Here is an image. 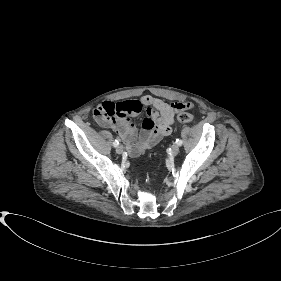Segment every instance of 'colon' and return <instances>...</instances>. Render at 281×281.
Instances as JSON below:
<instances>
[{
	"label": "colon",
	"mask_w": 281,
	"mask_h": 281,
	"mask_svg": "<svg viewBox=\"0 0 281 281\" xmlns=\"http://www.w3.org/2000/svg\"><path fill=\"white\" fill-rule=\"evenodd\" d=\"M140 109L141 106L136 102L132 106L127 105L125 102L117 104L107 103L95 111V116L102 122L111 121L115 120V117H122L127 113L139 111ZM177 121L182 124H190L193 121V116L188 112H180L177 114Z\"/></svg>",
	"instance_id": "1"
}]
</instances>
